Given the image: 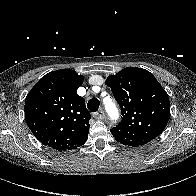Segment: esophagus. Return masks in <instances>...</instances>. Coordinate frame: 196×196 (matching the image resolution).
Instances as JSON below:
<instances>
[{
	"label": "esophagus",
	"mask_w": 196,
	"mask_h": 196,
	"mask_svg": "<svg viewBox=\"0 0 196 196\" xmlns=\"http://www.w3.org/2000/svg\"><path fill=\"white\" fill-rule=\"evenodd\" d=\"M93 117L97 120H103L105 118L104 110L100 109L99 111L93 114Z\"/></svg>",
	"instance_id": "obj_1"
}]
</instances>
